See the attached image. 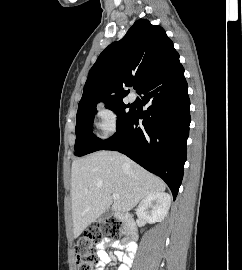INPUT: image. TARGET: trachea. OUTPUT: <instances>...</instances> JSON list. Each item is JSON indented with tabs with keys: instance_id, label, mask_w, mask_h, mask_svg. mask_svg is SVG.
Masks as SVG:
<instances>
[{
	"instance_id": "trachea-1",
	"label": "trachea",
	"mask_w": 242,
	"mask_h": 270,
	"mask_svg": "<svg viewBox=\"0 0 242 270\" xmlns=\"http://www.w3.org/2000/svg\"><path fill=\"white\" fill-rule=\"evenodd\" d=\"M133 87H134V89H137L138 88V84H134Z\"/></svg>"
}]
</instances>
